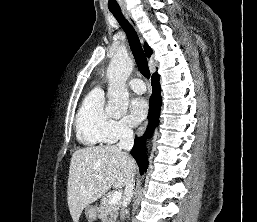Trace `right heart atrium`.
Segmentation results:
<instances>
[{"label":"right heart atrium","mask_w":257,"mask_h":222,"mask_svg":"<svg viewBox=\"0 0 257 222\" xmlns=\"http://www.w3.org/2000/svg\"><path fill=\"white\" fill-rule=\"evenodd\" d=\"M132 129L127 120H111L106 128V140L115 143L131 137Z\"/></svg>","instance_id":"d8ad5b80"}]
</instances>
